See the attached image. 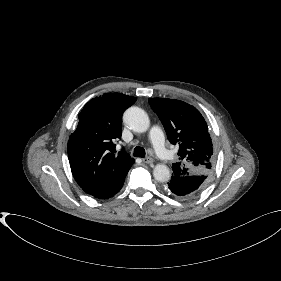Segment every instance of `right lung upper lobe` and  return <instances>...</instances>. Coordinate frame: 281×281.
Returning <instances> with one entry per match:
<instances>
[{
  "label": "right lung upper lobe",
  "mask_w": 281,
  "mask_h": 281,
  "mask_svg": "<svg viewBox=\"0 0 281 281\" xmlns=\"http://www.w3.org/2000/svg\"><path fill=\"white\" fill-rule=\"evenodd\" d=\"M136 101L121 93L91 99L79 114L68 141L72 174L88 194L103 198L125 179L134 159L124 150L115 154L113 141L121 137L122 114Z\"/></svg>",
  "instance_id": "1"
}]
</instances>
